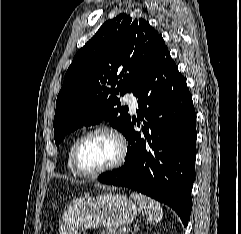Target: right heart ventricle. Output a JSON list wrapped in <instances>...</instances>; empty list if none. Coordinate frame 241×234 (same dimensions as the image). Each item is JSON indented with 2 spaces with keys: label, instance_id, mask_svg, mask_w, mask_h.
Masks as SVG:
<instances>
[{
  "label": "right heart ventricle",
  "instance_id": "obj_1",
  "mask_svg": "<svg viewBox=\"0 0 241 234\" xmlns=\"http://www.w3.org/2000/svg\"><path fill=\"white\" fill-rule=\"evenodd\" d=\"M77 141V138H75L72 143L69 146L68 149V153H67V159H66V166L68 171L73 175V176H78L79 174L76 172V170L73 167V163H72V151H73V147L75 145Z\"/></svg>",
  "mask_w": 241,
  "mask_h": 234
}]
</instances>
